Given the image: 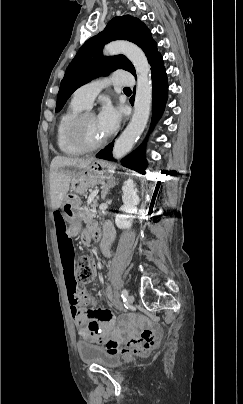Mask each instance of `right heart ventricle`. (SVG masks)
I'll list each match as a JSON object with an SVG mask.
<instances>
[{
	"label": "right heart ventricle",
	"mask_w": 243,
	"mask_h": 404,
	"mask_svg": "<svg viewBox=\"0 0 243 404\" xmlns=\"http://www.w3.org/2000/svg\"><path fill=\"white\" fill-rule=\"evenodd\" d=\"M78 89L74 92L73 98L67 107L60 114L54 129V140L59 152L69 157H79L86 153L85 150L74 144L66 133L67 126L72 118L87 109L84 103L77 97L79 95Z\"/></svg>",
	"instance_id": "right-heart-ventricle-1"
}]
</instances>
